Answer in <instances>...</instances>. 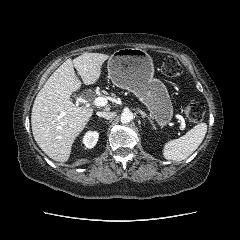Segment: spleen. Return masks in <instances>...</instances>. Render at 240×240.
Masks as SVG:
<instances>
[{"label":"spleen","instance_id":"1","mask_svg":"<svg viewBox=\"0 0 240 240\" xmlns=\"http://www.w3.org/2000/svg\"><path fill=\"white\" fill-rule=\"evenodd\" d=\"M206 132V123H199L182 137L168 141L163 148L164 158L173 161L186 159L202 143Z\"/></svg>","mask_w":240,"mask_h":240}]
</instances>
